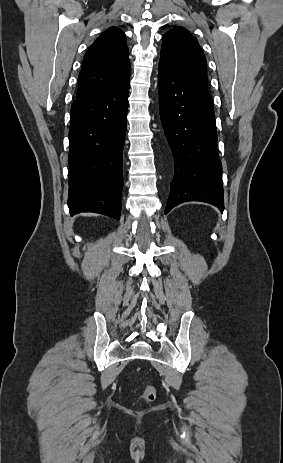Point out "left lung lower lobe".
I'll list each match as a JSON object with an SVG mask.
<instances>
[{"label": "left lung lower lobe", "instance_id": "left-lung-lower-lobe-1", "mask_svg": "<svg viewBox=\"0 0 283 463\" xmlns=\"http://www.w3.org/2000/svg\"><path fill=\"white\" fill-rule=\"evenodd\" d=\"M161 123L174 158V178L165 214L187 201L224 209L222 165L216 144L213 101L159 61Z\"/></svg>", "mask_w": 283, "mask_h": 463}]
</instances>
